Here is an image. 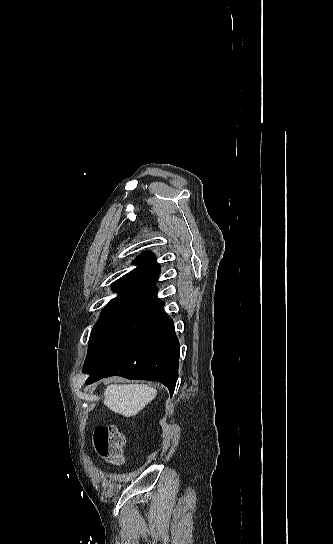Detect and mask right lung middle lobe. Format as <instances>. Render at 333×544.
Wrapping results in <instances>:
<instances>
[{"label":"right lung middle lobe","instance_id":"dd1d6c3e","mask_svg":"<svg viewBox=\"0 0 333 544\" xmlns=\"http://www.w3.org/2000/svg\"><path fill=\"white\" fill-rule=\"evenodd\" d=\"M165 303L125 299L105 306L93 327L84 368L103 362L147 330L164 312Z\"/></svg>","mask_w":333,"mask_h":544}]
</instances>
